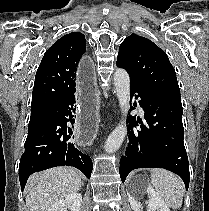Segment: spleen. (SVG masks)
Wrapping results in <instances>:
<instances>
[{
	"mask_svg": "<svg viewBox=\"0 0 209 211\" xmlns=\"http://www.w3.org/2000/svg\"><path fill=\"white\" fill-rule=\"evenodd\" d=\"M151 184L168 207L178 209L182 206L184 184L177 175L155 168L151 172Z\"/></svg>",
	"mask_w": 209,
	"mask_h": 211,
	"instance_id": "obj_1",
	"label": "spleen"
}]
</instances>
